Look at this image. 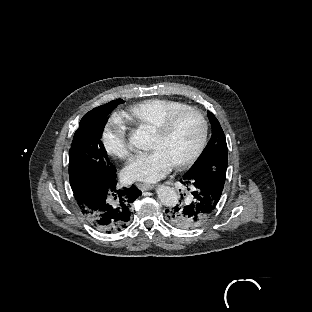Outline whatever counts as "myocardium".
<instances>
[{
  "instance_id": "1",
  "label": "myocardium",
  "mask_w": 312,
  "mask_h": 312,
  "mask_svg": "<svg viewBox=\"0 0 312 312\" xmlns=\"http://www.w3.org/2000/svg\"><path fill=\"white\" fill-rule=\"evenodd\" d=\"M192 119L198 128L197 134V142L199 146L192 152L191 155L187 156L182 161H177L174 163L173 168L177 172L186 171L190 167H193L195 161L198 160L199 156L202 155L208 145L210 144L209 137V126L205 120V114L202 110L197 108H192L190 106H180L177 110L174 111L172 115L169 116L168 119L162 124L161 128L158 131L160 137L165 138L168 136L169 131L173 129L174 125L178 123L181 119Z\"/></svg>"
}]
</instances>
